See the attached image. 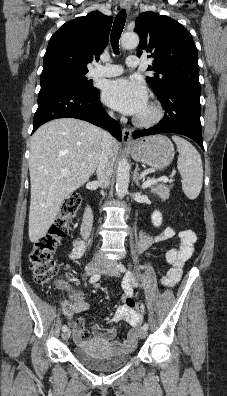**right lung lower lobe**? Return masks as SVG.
Masks as SVG:
<instances>
[{"label": "right lung lower lobe", "mask_w": 227, "mask_h": 396, "mask_svg": "<svg viewBox=\"0 0 227 396\" xmlns=\"http://www.w3.org/2000/svg\"><path fill=\"white\" fill-rule=\"evenodd\" d=\"M57 118L85 120L108 130L119 141L122 139L118 122L107 115L97 90L86 93L67 86L41 89L33 120V132L42 124Z\"/></svg>", "instance_id": "obj_1"}]
</instances>
